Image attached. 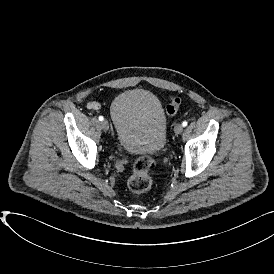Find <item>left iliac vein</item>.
Masks as SVG:
<instances>
[{
    "label": "left iliac vein",
    "mask_w": 274,
    "mask_h": 274,
    "mask_svg": "<svg viewBox=\"0 0 274 274\" xmlns=\"http://www.w3.org/2000/svg\"><path fill=\"white\" fill-rule=\"evenodd\" d=\"M183 128H184L183 125L178 123V124L175 125L174 131H175L176 134H181L182 131H183Z\"/></svg>",
    "instance_id": "obj_1"
}]
</instances>
